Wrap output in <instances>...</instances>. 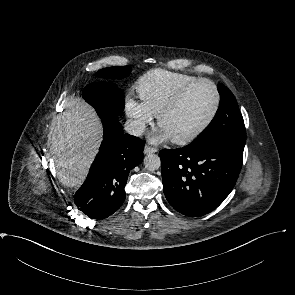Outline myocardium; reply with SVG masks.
Wrapping results in <instances>:
<instances>
[{
    "mask_svg": "<svg viewBox=\"0 0 295 295\" xmlns=\"http://www.w3.org/2000/svg\"><path fill=\"white\" fill-rule=\"evenodd\" d=\"M201 83H206V84L210 85L215 92L216 103H215L214 110H213L211 116L209 117V119L197 131H195L191 135L184 137V138L172 139V142L177 145H187V144H190V143L196 141L201 136H203L209 130V128L213 125V123L215 122V120L219 114V111L221 108V103H222V97H221V93H220L218 86L216 85L215 82H213L212 80H210L208 78H198V79L194 80L193 82L184 86L180 91H178L177 94L165 105V107L158 114V125L161 127V124H162L164 118L167 115H169L170 113H172L174 110H176L179 107V105L181 104V102L183 101V99L186 97V95L195 86H197L198 84H201Z\"/></svg>",
    "mask_w": 295,
    "mask_h": 295,
    "instance_id": "f54148a6",
    "label": "myocardium"
}]
</instances>
